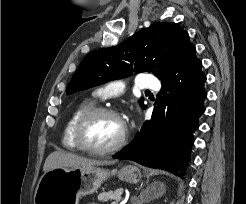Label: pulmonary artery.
<instances>
[{
	"label": "pulmonary artery",
	"instance_id": "1",
	"mask_svg": "<svg viewBox=\"0 0 246 204\" xmlns=\"http://www.w3.org/2000/svg\"><path fill=\"white\" fill-rule=\"evenodd\" d=\"M136 86L139 89L158 90L160 83L150 74H140L136 78ZM124 88L123 80H114L97 89L96 96L102 99L117 96L124 91Z\"/></svg>",
	"mask_w": 246,
	"mask_h": 204
}]
</instances>
